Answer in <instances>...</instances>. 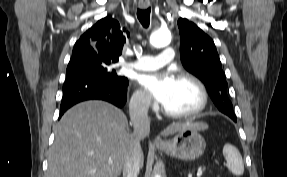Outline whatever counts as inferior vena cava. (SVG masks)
<instances>
[{"label":"inferior vena cava","mask_w":287,"mask_h":177,"mask_svg":"<svg viewBox=\"0 0 287 177\" xmlns=\"http://www.w3.org/2000/svg\"><path fill=\"white\" fill-rule=\"evenodd\" d=\"M148 107L149 100L145 98L138 100L130 106V119L134 127V142L123 166V177H138L142 159L140 142L150 132Z\"/></svg>","instance_id":"1"}]
</instances>
